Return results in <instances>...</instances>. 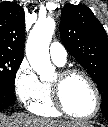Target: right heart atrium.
Segmentation results:
<instances>
[{
	"label": "right heart atrium",
	"mask_w": 108,
	"mask_h": 127,
	"mask_svg": "<svg viewBox=\"0 0 108 127\" xmlns=\"http://www.w3.org/2000/svg\"><path fill=\"white\" fill-rule=\"evenodd\" d=\"M42 82L27 61H22L14 76L17 98L24 105H31L41 92Z\"/></svg>",
	"instance_id": "right-heart-atrium-1"
}]
</instances>
